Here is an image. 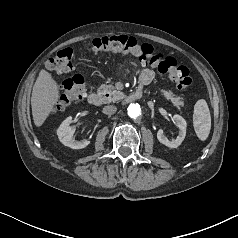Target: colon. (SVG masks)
<instances>
[{"instance_id":"5ec220e1","label":"colon","mask_w":238,"mask_h":238,"mask_svg":"<svg viewBox=\"0 0 238 238\" xmlns=\"http://www.w3.org/2000/svg\"><path fill=\"white\" fill-rule=\"evenodd\" d=\"M88 49L94 53H121L137 55L140 61L166 74L179 90H187L192 84V78L187 67L178 64L176 59L155 50L148 43H140L132 36L111 35L94 38ZM73 55L71 48H65L51 56L46 67L58 74H68L73 70ZM86 96V82L82 74L75 73L68 77L62 86V92L53 106V112H59L66 107L82 100Z\"/></svg>"}]
</instances>
